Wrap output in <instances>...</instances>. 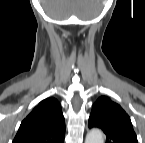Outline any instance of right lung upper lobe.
I'll return each mask as SVG.
<instances>
[{"label": "right lung upper lobe", "mask_w": 145, "mask_h": 143, "mask_svg": "<svg viewBox=\"0 0 145 143\" xmlns=\"http://www.w3.org/2000/svg\"><path fill=\"white\" fill-rule=\"evenodd\" d=\"M65 120L54 98L41 101L22 121L13 143H63Z\"/></svg>", "instance_id": "cb5924a9"}]
</instances>
